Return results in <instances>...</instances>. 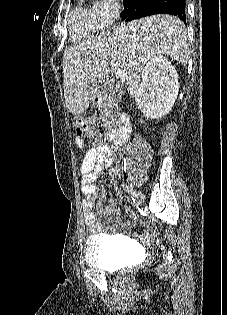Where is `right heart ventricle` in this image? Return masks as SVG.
Returning a JSON list of instances; mask_svg holds the SVG:
<instances>
[{
    "mask_svg": "<svg viewBox=\"0 0 227 315\" xmlns=\"http://www.w3.org/2000/svg\"><path fill=\"white\" fill-rule=\"evenodd\" d=\"M68 21L72 37L75 41L87 39L93 36L98 30L91 8L84 6L81 0L69 12Z\"/></svg>",
    "mask_w": 227,
    "mask_h": 315,
    "instance_id": "e07e8e85",
    "label": "right heart ventricle"
}]
</instances>
